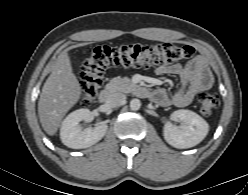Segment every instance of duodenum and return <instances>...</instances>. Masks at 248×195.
Listing matches in <instances>:
<instances>
[{"mask_svg": "<svg viewBox=\"0 0 248 195\" xmlns=\"http://www.w3.org/2000/svg\"><path fill=\"white\" fill-rule=\"evenodd\" d=\"M134 93L139 97L150 96L149 89L141 85H137L135 87ZM113 95H114V90L110 87H105L99 92L98 98L99 101L102 103H110L113 99Z\"/></svg>", "mask_w": 248, "mask_h": 195, "instance_id": "duodenum-1", "label": "duodenum"}]
</instances>
